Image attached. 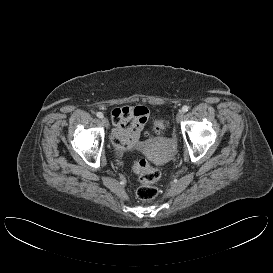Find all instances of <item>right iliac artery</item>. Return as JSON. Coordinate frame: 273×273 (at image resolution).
I'll return each mask as SVG.
<instances>
[{
  "instance_id": "right-iliac-artery-1",
  "label": "right iliac artery",
  "mask_w": 273,
  "mask_h": 273,
  "mask_svg": "<svg viewBox=\"0 0 273 273\" xmlns=\"http://www.w3.org/2000/svg\"><path fill=\"white\" fill-rule=\"evenodd\" d=\"M96 115H97L98 118H103V117H104L103 114H102L101 112H97Z\"/></svg>"
}]
</instances>
